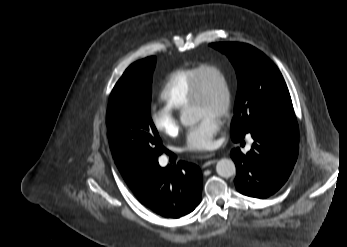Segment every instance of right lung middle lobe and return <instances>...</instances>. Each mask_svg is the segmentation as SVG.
Segmentation results:
<instances>
[{
	"instance_id": "obj_1",
	"label": "right lung middle lobe",
	"mask_w": 347,
	"mask_h": 247,
	"mask_svg": "<svg viewBox=\"0 0 347 247\" xmlns=\"http://www.w3.org/2000/svg\"><path fill=\"white\" fill-rule=\"evenodd\" d=\"M155 63V57H148L131 64L110 94L107 128L118 168L133 165L145 169L158 162L164 149L150 116Z\"/></svg>"
}]
</instances>
